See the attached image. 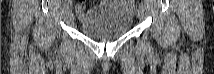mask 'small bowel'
Segmentation results:
<instances>
[{"label": "small bowel", "instance_id": "1", "mask_svg": "<svg viewBox=\"0 0 214 74\" xmlns=\"http://www.w3.org/2000/svg\"><path fill=\"white\" fill-rule=\"evenodd\" d=\"M109 5H122L121 1H115V2H109V1H103L99 4L100 7H106ZM124 7H126L127 9L131 10V6L128 5H122ZM87 9V5L84 2H80L77 6H76V15L78 20H82L84 18V13L85 10Z\"/></svg>", "mask_w": 214, "mask_h": 74}]
</instances>
